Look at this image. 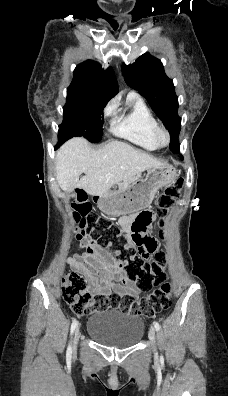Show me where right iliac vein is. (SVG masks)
Returning <instances> with one entry per match:
<instances>
[{"label": "right iliac vein", "mask_w": 228, "mask_h": 396, "mask_svg": "<svg viewBox=\"0 0 228 396\" xmlns=\"http://www.w3.org/2000/svg\"><path fill=\"white\" fill-rule=\"evenodd\" d=\"M79 337H80V328L77 327V328H76V331H75V335H74V345H76V343H77Z\"/></svg>", "instance_id": "1"}]
</instances>
